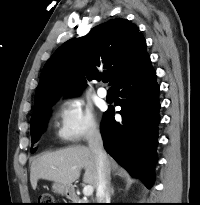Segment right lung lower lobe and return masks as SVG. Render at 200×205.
<instances>
[{
  "label": "right lung lower lobe",
  "instance_id": "98d812e1",
  "mask_svg": "<svg viewBox=\"0 0 200 205\" xmlns=\"http://www.w3.org/2000/svg\"><path fill=\"white\" fill-rule=\"evenodd\" d=\"M115 105L122 122L114 119V108L104 113L101 134L105 150L132 176L141 178L150 188L156 162L158 139L159 86L150 59L135 72L117 83Z\"/></svg>",
  "mask_w": 200,
  "mask_h": 205
}]
</instances>
